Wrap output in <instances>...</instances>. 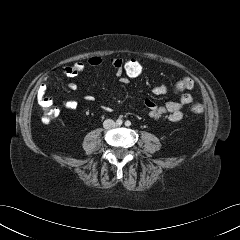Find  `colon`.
<instances>
[{"label": "colon", "mask_w": 240, "mask_h": 240, "mask_svg": "<svg viewBox=\"0 0 240 240\" xmlns=\"http://www.w3.org/2000/svg\"><path fill=\"white\" fill-rule=\"evenodd\" d=\"M122 73L128 79H136L143 75L144 65L136 57L126 59L122 63ZM194 86L193 80L189 77H182L178 79L174 84V90L179 93H185L191 90ZM190 110L194 114H201L204 112L205 108L202 104L193 102L191 104ZM57 116V111L46 107L43 114V121L49 123Z\"/></svg>", "instance_id": "colon-1"}]
</instances>
